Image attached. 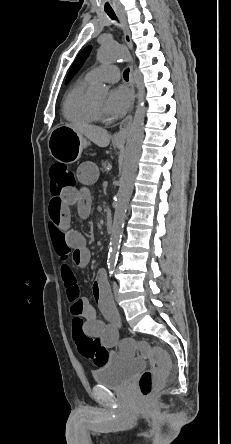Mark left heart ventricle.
I'll use <instances>...</instances> for the list:
<instances>
[{
	"mask_svg": "<svg viewBox=\"0 0 231 444\" xmlns=\"http://www.w3.org/2000/svg\"><path fill=\"white\" fill-rule=\"evenodd\" d=\"M95 105L100 109H103L105 107L104 101H99V102L95 103Z\"/></svg>",
	"mask_w": 231,
	"mask_h": 444,
	"instance_id": "left-heart-ventricle-1",
	"label": "left heart ventricle"
}]
</instances>
